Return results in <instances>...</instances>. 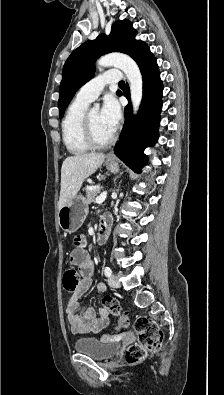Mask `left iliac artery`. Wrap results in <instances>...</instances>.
Wrapping results in <instances>:
<instances>
[{
    "instance_id": "1",
    "label": "left iliac artery",
    "mask_w": 224,
    "mask_h": 395,
    "mask_svg": "<svg viewBox=\"0 0 224 395\" xmlns=\"http://www.w3.org/2000/svg\"><path fill=\"white\" fill-rule=\"evenodd\" d=\"M104 274H105V276H107V277H110L111 275H112V271H111V269H110V267H105L104 268Z\"/></svg>"
}]
</instances>
